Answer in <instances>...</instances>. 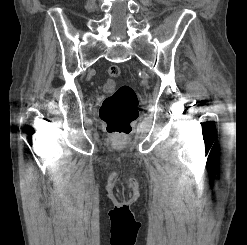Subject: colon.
<instances>
[{
    "label": "colon",
    "mask_w": 247,
    "mask_h": 245,
    "mask_svg": "<svg viewBox=\"0 0 247 245\" xmlns=\"http://www.w3.org/2000/svg\"><path fill=\"white\" fill-rule=\"evenodd\" d=\"M108 75L116 78L120 75V68L111 65ZM100 119L106 124L109 132L128 133L138 117V97L128 85L120 86L115 92L107 96L99 110Z\"/></svg>",
    "instance_id": "5ec220e1"
}]
</instances>
